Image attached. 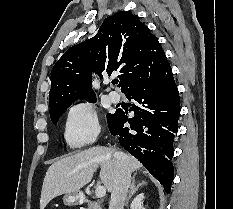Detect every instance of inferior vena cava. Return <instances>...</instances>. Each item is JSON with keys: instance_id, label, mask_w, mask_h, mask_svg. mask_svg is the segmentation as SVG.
Instances as JSON below:
<instances>
[{"instance_id": "obj_1", "label": "inferior vena cava", "mask_w": 233, "mask_h": 209, "mask_svg": "<svg viewBox=\"0 0 233 209\" xmlns=\"http://www.w3.org/2000/svg\"><path fill=\"white\" fill-rule=\"evenodd\" d=\"M116 172L111 192L109 209H123L131 182V170L125 154L121 151L114 153Z\"/></svg>"}]
</instances>
